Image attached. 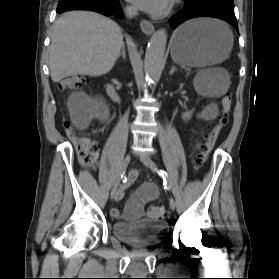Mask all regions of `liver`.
I'll list each match as a JSON object with an SVG mask.
<instances>
[{
    "label": "liver",
    "mask_w": 279,
    "mask_h": 279,
    "mask_svg": "<svg viewBox=\"0 0 279 279\" xmlns=\"http://www.w3.org/2000/svg\"><path fill=\"white\" fill-rule=\"evenodd\" d=\"M123 44L122 31L111 19L90 11L64 13L55 21L51 33L52 81L58 83L70 76L108 73Z\"/></svg>",
    "instance_id": "obj_1"
}]
</instances>
